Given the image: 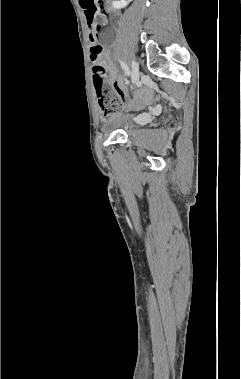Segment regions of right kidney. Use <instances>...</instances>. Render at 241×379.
Here are the masks:
<instances>
[{
	"mask_svg": "<svg viewBox=\"0 0 241 379\" xmlns=\"http://www.w3.org/2000/svg\"><path fill=\"white\" fill-rule=\"evenodd\" d=\"M132 1V0H119V1H114L112 6L113 8L115 9H121V8H124L126 7L129 2Z\"/></svg>",
	"mask_w": 241,
	"mask_h": 379,
	"instance_id": "1",
	"label": "right kidney"
}]
</instances>
